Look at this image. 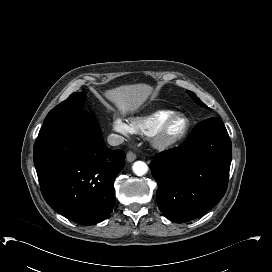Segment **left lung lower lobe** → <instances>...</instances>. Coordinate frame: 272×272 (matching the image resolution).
<instances>
[{"mask_svg": "<svg viewBox=\"0 0 272 272\" xmlns=\"http://www.w3.org/2000/svg\"><path fill=\"white\" fill-rule=\"evenodd\" d=\"M232 145L219 118L200 122L178 148L150 163L160 210L173 222L195 219L216 205L228 184Z\"/></svg>", "mask_w": 272, "mask_h": 272, "instance_id": "0a47b994", "label": "left lung lower lobe"}]
</instances>
